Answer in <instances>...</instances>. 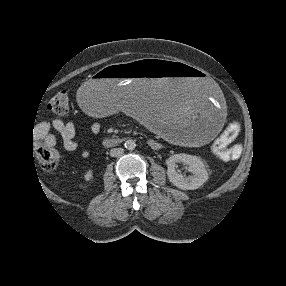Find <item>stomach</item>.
Wrapping results in <instances>:
<instances>
[{"label": "stomach", "mask_w": 286, "mask_h": 286, "mask_svg": "<svg viewBox=\"0 0 286 286\" xmlns=\"http://www.w3.org/2000/svg\"><path fill=\"white\" fill-rule=\"evenodd\" d=\"M79 102L94 117L131 109L179 144L207 140L225 119L224 96L208 76L161 57L105 66L82 86Z\"/></svg>", "instance_id": "stomach-1"}]
</instances>
